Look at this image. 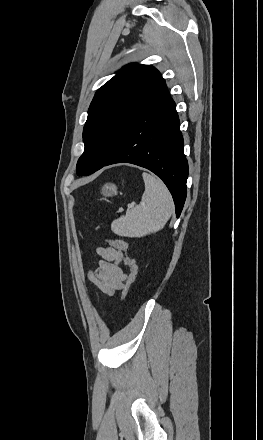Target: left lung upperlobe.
Listing matches in <instances>:
<instances>
[{"label":"left lung upper lobe","mask_w":263,"mask_h":440,"mask_svg":"<svg viewBox=\"0 0 263 440\" xmlns=\"http://www.w3.org/2000/svg\"><path fill=\"white\" fill-rule=\"evenodd\" d=\"M164 83L154 67L128 64L96 92L83 130L85 150L76 166L79 176L107 163L137 113Z\"/></svg>","instance_id":"obj_1"}]
</instances>
